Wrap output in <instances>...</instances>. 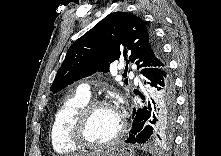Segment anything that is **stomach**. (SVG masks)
Segmentation results:
<instances>
[{
    "label": "stomach",
    "instance_id": "stomach-1",
    "mask_svg": "<svg viewBox=\"0 0 221 156\" xmlns=\"http://www.w3.org/2000/svg\"><path fill=\"white\" fill-rule=\"evenodd\" d=\"M104 156H134V151L129 147H114L106 151Z\"/></svg>",
    "mask_w": 221,
    "mask_h": 156
}]
</instances>
